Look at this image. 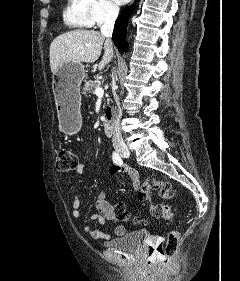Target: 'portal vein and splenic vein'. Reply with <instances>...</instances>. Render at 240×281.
<instances>
[{"label": "portal vein and splenic vein", "instance_id": "obj_1", "mask_svg": "<svg viewBox=\"0 0 240 281\" xmlns=\"http://www.w3.org/2000/svg\"><path fill=\"white\" fill-rule=\"evenodd\" d=\"M95 95L98 96V97H103L104 95V90L101 88V87H96L95 88Z\"/></svg>", "mask_w": 240, "mask_h": 281}]
</instances>
